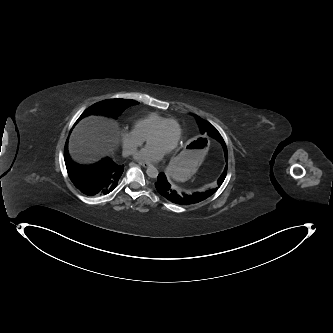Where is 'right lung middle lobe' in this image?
Returning a JSON list of instances; mask_svg holds the SVG:
<instances>
[{
    "label": "right lung middle lobe",
    "mask_w": 333,
    "mask_h": 333,
    "mask_svg": "<svg viewBox=\"0 0 333 333\" xmlns=\"http://www.w3.org/2000/svg\"><path fill=\"white\" fill-rule=\"evenodd\" d=\"M138 104V102L134 100H127V99H109L98 102L87 110H85L82 115L80 116L79 120L85 116L91 114H102L106 116H119L126 108L131 105Z\"/></svg>",
    "instance_id": "1"
}]
</instances>
